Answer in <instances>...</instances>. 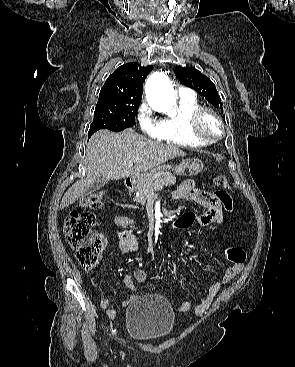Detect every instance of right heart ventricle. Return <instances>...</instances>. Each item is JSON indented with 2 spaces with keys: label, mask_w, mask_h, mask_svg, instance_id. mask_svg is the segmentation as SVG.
Wrapping results in <instances>:
<instances>
[{
  "label": "right heart ventricle",
  "mask_w": 295,
  "mask_h": 367,
  "mask_svg": "<svg viewBox=\"0 0 295 367\" xmlns=\"http://www.w3.org/2000/svg\"><path fill=\"white\" fill-rule=\"evenodd\" d=\"M200 107L196 98H180L176 114L161 120V134L156 139L188 148H197L206 145L193 137L189 129L190 116Z\"/></svg>",
  "instance_id": "obj_1"
}]
</instances>
